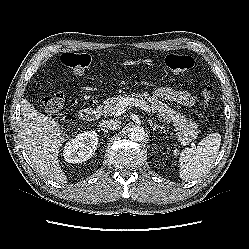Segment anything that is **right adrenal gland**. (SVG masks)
<instances>
[{"label":"right adrenal gland","instance_id":"2a0ac1e0","mask_svg":"<svg viewBox=\"0 0 249 249\" xmlns=\"http://www.w3.org/2000/svg\"><path fill=\"white\" fill-rule=\"evenodd\" d=\"M104 132H107L106 130H104L103 128H101Z\"/></svg>","mask_w":249,"mask_h":249}]
</instances>
